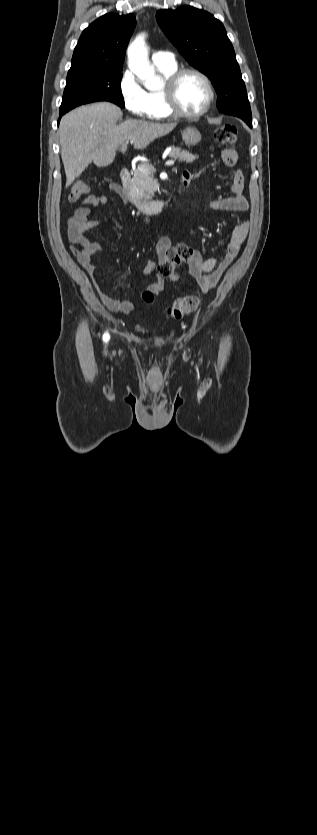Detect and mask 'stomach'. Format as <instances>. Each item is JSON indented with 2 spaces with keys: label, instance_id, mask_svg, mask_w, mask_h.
I'll list each match as a JSON object with an SVG mask.
<instances>
[{
  "label": "stomach",
  "instance_id": "0dacf381",
  "mask_svg": "<svg viewBox=\"0 0 317 835\" xmlns=\"http://www.w3.org/2000/svg\"><path fill=\"white\" fill-rule=\"evenodd\" d=\"M181 133L184 142L189 146H195L201 141V134L195 127H186Z\"/></svg>",
  "mask_w": 317,
  "mask_h": 835
}]
</instances>
